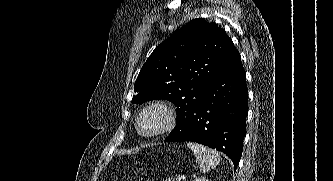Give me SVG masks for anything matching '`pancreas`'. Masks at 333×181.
Listing matches in <instances>:
<instances>
[{"label": "pancreas", "mask_w": 333, "mask_h": 181, "mask_svg": "<svg viewBox=\"0 0 333 181\" xmlns=\"http://www.w3.org/2000/svg\"><path fill=\"white\" fill-rule=\"evenodd\" d=\"M165 181H175V179H173V178H168V179H166Z\"/></svg>", "instance_id": "obj_1"}]
</instances>
